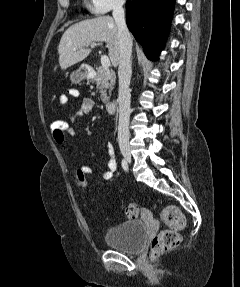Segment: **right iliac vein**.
Instances as JSON below:
<instances>
[{
	"label": "right iliac vein",
	"instance_id": "63e3f726",
	"mask_svg": "<svg viewBox=\"0 0 240 287\" xmlns=\"http://www.w3.org/2000/svg\"><path fill=\"white\" fill-rule=\"evenodd\" d=\"M122 155L123 157L125 158V160L128 162V163H131V155H130V151L126 148H123L122 149Z\"/></svg>",
	"mask_w": 240,
	"mask_h": 287
}]
</instances>
